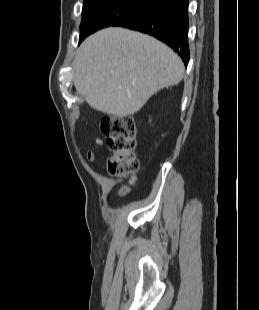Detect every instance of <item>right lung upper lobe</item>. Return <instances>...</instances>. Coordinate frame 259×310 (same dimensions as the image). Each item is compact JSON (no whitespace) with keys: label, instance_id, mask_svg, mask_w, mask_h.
<instances>
[{"label":"right lung upper lobe","instance_id":"right-lung-upper-lobe-1","mask_svg":"<svg viewBox=\"0 0 259 310\" xmlns=\"http://www.w3.org/2000/svg\"><path fill=\"white\" fill-rule=\"evenodd\" d=\"M103 1H106V0H85L83 8H87V7L99 4V3L103 2Z\"/></svg>","mask_w":259,"mask_h":310}]
</instances>
